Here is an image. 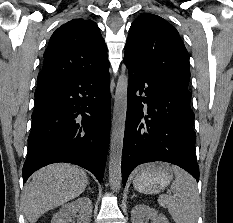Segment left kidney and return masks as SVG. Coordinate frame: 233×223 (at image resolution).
<instances>
[{"label":"left kidney","instance_id":"obj_1","mask_svg":"<svg viewBox=\"0 0 233 223\" xmlns=\"http://www.w3.org/2000/svg\"><path fill=\"white\" fill-rule=\"evenodd\" d=\"M132 223H147L148 219H152L151 223H169L164 213H158L153 207L139 203L135 205L131 211Z\"/></svg>","mask_w":233,"mask_h":223}]
</instances>
